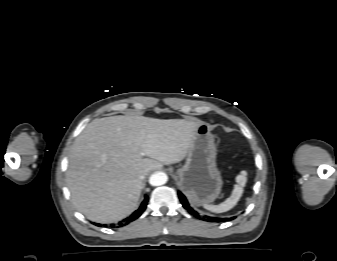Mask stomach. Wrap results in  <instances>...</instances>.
I'll list each match as a JSON object with an SVG mask.
<instances>
[{
	"label": "stomach",
	"instance_id": "1",
	"mask_svg": "<svg viewBox=\"0 0 337 261\" xmlns=\"http://www.w3.org/2000/svg\"><path fill=\"white\" fill-rule=\"evenodd\" d=\"M214 136L208 124L194 132L185 164L177 170L180 189L196 205L212 203L220 194L223 181L216 164Z\"/></svg>",
	"mask_w": 337,
	"mask_h": 261
}]
</instances>
